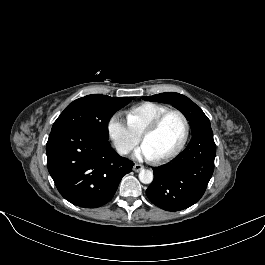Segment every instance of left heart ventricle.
Wrapping results in <instances>:
<instances>
[{"label": "left heart ventricle", "instance_id": "left-heart-ventricle-1", "mask_svg": "<svg viewBox=\"0 0 265 265\" xmlns=\"http://www.w3.org/2000/svg\"><path fill=\"white\" fill-rule=\"evenodd\" d=\"M184 135V123L179 115H169L152 134L144 139V144L154 157L166 154L175 149Z\"/></svg>", "mask_w": 265, "mask_h": 265}]
</instances>
